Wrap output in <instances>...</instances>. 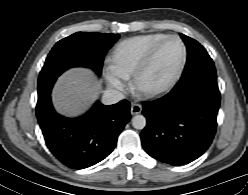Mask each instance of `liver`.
<instances>
[{
    "label": "liver",
    "mask_w": 248,
    "mask_h": 195,
    "mask_svg": "<svg viewBox=\"0 0 248 195\" xmlns=\"http://www.w3.org/2000/svg\"><path fill=\"white\" fill-rule=\"evenodd\" d=\"M101 92V82L92 71L72 68L58 78L52 100L59 113L75 117L86 111Z\"/></svg>",
    "instance_id": "6515ba94"
}]
</instances>
